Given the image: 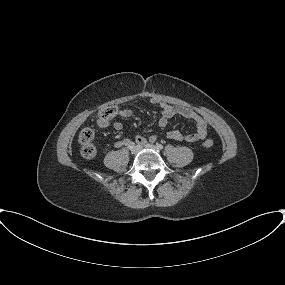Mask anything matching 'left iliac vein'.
<instances>
[{
	"instance_id": "1",
	"label": "left iliac vein",
	"mask_w": 285,
	"mask_h": 285,
	"mask_svg": "<svg viewBox=\"0 0 285 285\" xmlns=\"http://www.w3.org/2000/svg\"><path fill=\"white\" fill-rule=\"evenodd\" d=\"M144 147L148 148V149H152L154 151H158V148L155 145H152V144H149V143H145Z\"/></svg>"
}]
</instances>
